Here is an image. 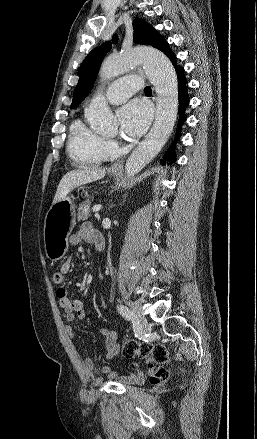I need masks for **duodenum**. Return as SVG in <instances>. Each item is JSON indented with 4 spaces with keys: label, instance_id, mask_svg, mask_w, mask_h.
Segmentation results:
<instances>
[{
    "label": "duodenum",
    "instance_id": "duodenum-1",
    "mask_svg": "<svg viewBox=\"0 0 257 439\" xmlns=\"http://www.w3.org/2000/svg\"><path fill=\"white\" fill-rule=\"evenodd\" d=\"M95 248H96L97 251H101V250H103V248H104V243H103V241H102V240H98L97 243H96V245H95Z\"/></svg>",
    "mask_w": 257,
    "mask_h": 439
}]
</instances>
